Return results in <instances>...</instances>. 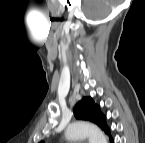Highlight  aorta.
<instances>
[{
  "instance_id": "1",
  "label": "aorta",
  "mask_w": 145,
  "mask_h": 143,
  "mask_svg": "<svg viewBox=\"0 0 145 143\" xmlns=\"http://www.w3.org/2000/svg\"><path fill=\"white\" fill-rule=\"evenodd\" d=\"M65 135L69 140H78L87 137L90 143H107L104 133L95 125L76 121L67 127Z\"/></svg>"
}]
</instances>
